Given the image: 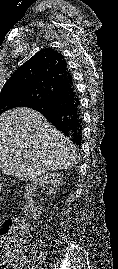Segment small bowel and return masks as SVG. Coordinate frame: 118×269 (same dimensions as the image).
I'll return each mask as SVG.
<instances>
[{
  "instance_id": "c3829d8e",
  "label": "small bowel",
  "mask_w": 118,
  "mask_h": 269,
  "mask_svg": "<svg viewBox=\"0 0 118 269\" xmlns=\"http://www.w3.org/2000/svg\"><path fill=\"white\" fill-rule=\"evenodd\" d=\"M15 269H22V267H20V266H17Z\"/></svg>"
}]
</instances>
